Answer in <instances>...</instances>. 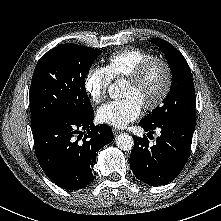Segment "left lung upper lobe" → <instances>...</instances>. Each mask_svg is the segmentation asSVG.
<instances>
[{
    "label": "left lung upper lobe",
    "instance_id": "5c2ea615",
    "mask_svg": "<svg viewBox=\"0 0 221 221\" xmlns=\"http://www.w3.org/2000/svg\"><path fill=\"white\" fill-rule=\"evenodd\" d=\"M172 71V85L163 105L154 109L144 120L150 125L164 124L174 120H184L195 124V89L190 67L184 56L170 43L153 38Z\"/></svg>",
    "mask_w": 221,
    "mask_h": 221
}]
</instances>
